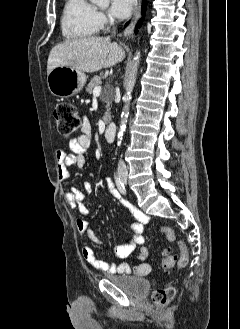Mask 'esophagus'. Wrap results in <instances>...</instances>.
<instances>
[{
    "label": "esophagus",
    "instance_id": "34e87169",
    "mask_svg": "<svg viewBox=\"0 0 240 329\" xmlns=\"http://www.w3.org/2000/svg\"><path fill=\"white\" fill-rule=\"evenodd\" d=\"M140 12H141V0H136L135 6H134V11H133V16L131 18V21L129 22V25L125 29L124 35L128 36L132 33L134 26L138 22L140 18Z\"/></svg>",
    "mask_w": 240,
    "mask_h": 329
}]
</instances>
